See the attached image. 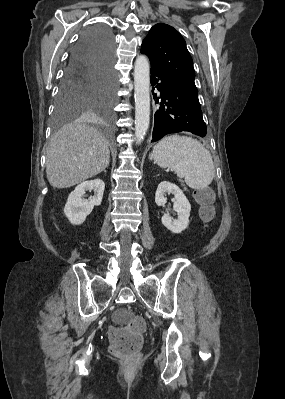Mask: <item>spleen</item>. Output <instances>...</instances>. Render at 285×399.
Segmentation results:
<instances>
[{"label":"spleen","mask_w":285,"mask_h":399,"mask_svg":"<svg viewBox=\"0 0 285 399\" xmlns=\"http://www.w3.org/2000/svg\"><path fill=\"white\" fill-rule=\"evenodd\" d=\"M152 155L157 165L174 171L192 189L206 188L215 176L210 152L191 137L169 135L154 146Z\"/></svg>","instance_id":"3e777b00"}]
</instances>
